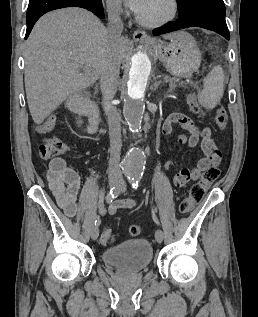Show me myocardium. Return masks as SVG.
I'll return each instance as SVG.
<instances>
[{
    "label": "myocardium",
    "mask_w": 258,
    "mask_h": 317,
    "mask_svg": "<svg viewBox=\"0 0 258 317\" xmlns=\"http://www.w3.org/2000/svg\"><path fill=\"white\" fill-rule=\"evenodd\" d=\"M158 1H165V2L169 3L170 4V12L168 15H166L164 18H162L158 22L149 23L144 19L143 15L141 14V10L143 8H146L148 6L153 5L154 3L158 2ZM176 12H177V4L174 0H147L141 5L140 8L136 9V20L141 26H143L145 28L160 29V28L164 27L166 24H168L171 20L174 19Z\"/></svg>",
    "instance_id": "1"
}]
</instances>
